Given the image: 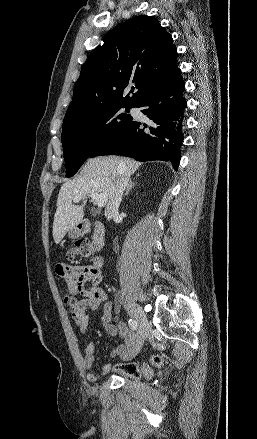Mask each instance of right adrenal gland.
<instances>
[{
	"label": "right adrenal gland",
	"mask_w": 257,
	"mask_h": 439,
	"mask_svg": "<svg viewBox=\"0 0 257 439\" xmlns=\"http://www.w3.org/2000/svg\"><path fill=\"white\" fill-rule=\"evenodd\" d=\"M137 176H139V174H137ZM135 185H136V183L130 181L129 184H128V186H127V189H126V192H125L124 196H127V195L129 194V191H130Z\"/></svg>",
	"instance_id": "right-adrenal-gland-1"
}]
</instances>
